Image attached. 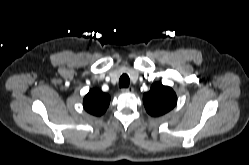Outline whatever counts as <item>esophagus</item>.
I'll list each match as a JSON object with an SVG mask.
<instances>
[{
    "label": "esophagus",
    "instance_id": "34e87169",
    "mask_svg": "<svg viewBox=\"0 0 249 165\" xmlns=\"http://www.w3.org/2000/svg\"><path fill=\"white\" fill-rule=\"evenodd\" d=\"M134 91L133 87L122 88V92L132 93Z\"/></svg>",
    "mask_w": 249,
    "mask_h": 165
}]
</instances>
